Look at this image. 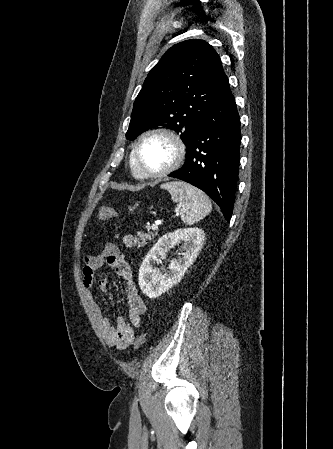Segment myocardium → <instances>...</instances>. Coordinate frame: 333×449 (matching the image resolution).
I'll return each instance as SVG.
<instances>
[{"label": "myocardium", "mask_w": 333, "mask_h": 449, "mask_svg": "<svg viewBox=\"0 0 333 449\" xmlns=\"http://www.w3.org/2000/svg\"><path fill=\"white\" fill-rule=\"evenodd\" d=\"M156 136L164 137L171 142L174 151L173 159L165 168L155 172H148L145 171L141 165L139 151L142 143L147 138ZM132 156L134 159L136 169L141 179L145 180L158 179L169 175L170 173L174 172L177 168L180 167L186 156V147L182 139L172 130L165 128H153L146 130L139 136V138L134 144Z\"/></svg>", "instance_id": "f54148a6"}]
</instances>
